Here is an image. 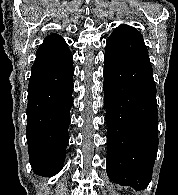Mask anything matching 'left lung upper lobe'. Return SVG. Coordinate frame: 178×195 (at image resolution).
<instances>
[{
	"mask_svg": "<svg viewBox=\"0 0 178 195\" xmlns=\"http://www.w3.org/2000/svg\"><path fill=\"white\" fill-rule=\"evenodd\" d=\"M152 69L143 36L128 25L117 27L106 42V52Z\"/></svg>",
	"mask_w": 178,
	"mask_h": 195,
	"instance_id": "5c2ea615",
	"label": "left lung upper lobe"
}]
</instances>
